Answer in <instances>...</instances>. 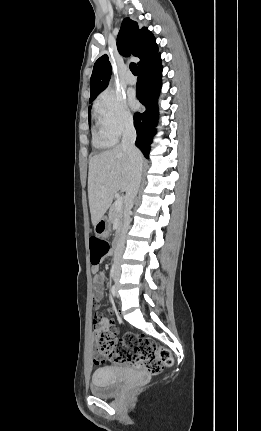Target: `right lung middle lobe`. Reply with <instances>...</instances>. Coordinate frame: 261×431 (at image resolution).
<instances>
[{"mask_svg": "<svg viewBox=\"0 0 261 431\" xmlns=\"http://www.w3.org/2000/svg\"><path fill=\"white\" fill-rule=\"evenodd\" d=\"M93 100H94V99L89 100V103H91ZM90 110H91V107H89V109H88V113H90ZM89 120H90V116H89Z\"/></svg>", "mask_w": 261, "mask_h": 431, "instance_id": "dd1d6c3e", "label": "right lung middle lobe"}]
</instances>
